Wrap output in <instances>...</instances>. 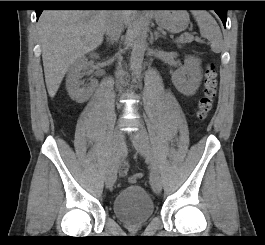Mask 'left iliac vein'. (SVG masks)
<instances>
[{"mask_svg": "<svg viewBox=\"0 0 265 245\" xmlns=\"http://www.w3.org/2000/svg\"><path fill=\"white\" fill-rule=\"evenodd\" d=\"M130 137L138 153L149 161L151 165L150 184L153 191L156 194H160L162 189L161 177L151 150L147 131L142 126H139L138 130L131 132Z\"/></svg>", "mask_w": 265, "mask_h": 245, "instance_id": "1", "label": "left iliac vein"}]
</instances>
